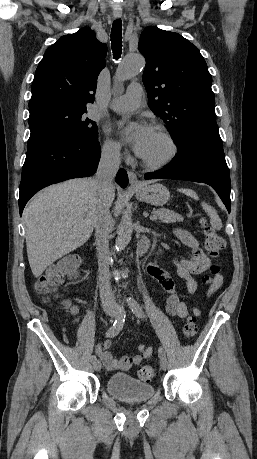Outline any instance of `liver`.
<instances>
[{
  "instance_id": "liver-1",
  "label": "liver",
  "mask_w": 257,
  "mask_h": 459,
  "mask_svg": "<svg viewBox=\"0 0 257 459\" xmlns=\"http://www.w3.org/2000/svg\"><path fill=\"white\" fill-rule=\"evenodd\" d=\"M115 190L111 193V203ZM97 187L93 178L50 186L25 207L28 261L38 278L57 259L89 240L96 225Z\"/></svg>"
}]
</instances>
